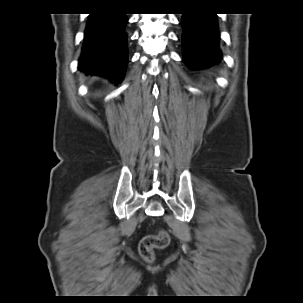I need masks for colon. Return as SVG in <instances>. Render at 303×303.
Returning a JSON list of instances; mask_svg holds the SVG:
<instances>
[{"label":"colon","instance_id":"obj_1","mask_svg":"<svg viewBox=\"0 0 303 303\" xmlns=\"http://www.w3.org/2000/svg\"><path fill=\"white\" fill-rule=\"evenodd\" d=\"M170 237L164 230L158 231L155 235L146 237L140 244L139 251L141 257L148 263L153 262L155 251L168 246Z\"/></svg>","mask_w":303,"mask_h":303}]
</instances>
